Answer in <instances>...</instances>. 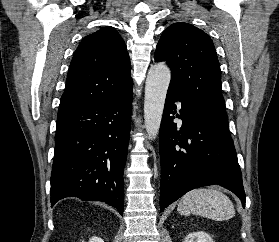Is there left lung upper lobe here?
I'll use <instances>...</instances> for the list:
<instances>
[{
    "mask_svg": "<svg viewBox=\"0 0 279 242\" xmlns=\"http://www.w3.org/2000/svg\"><path fill=\"white\" fill-rule=\"evenodd\" d=\"M154 58L166 61L172 71L170 85L183 100L228 125L221 89V70L211 38L184 22L169 26L157 44Z\"/></svg>",
    "mask_w": 279,
    "mask_h": 242,
    "instance_id": "obj_1",
    "label": "left lung upper lobe"
}]
</instances>
